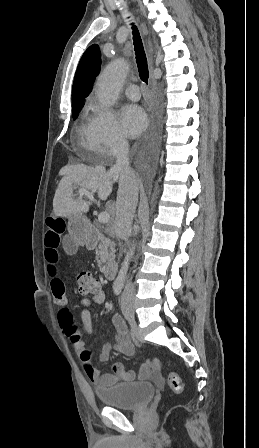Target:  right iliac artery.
Returning <instances> with one entry per match:
<instances>
[{"mask_svg": "<svg viewBox=\"0 0 259 448\" xmlns=\"http://www.w3.org/2000/svg\"><path fill=\"white\" fill-rule=\"evenodd\" d=\"M122 287H123V285L121 283H115L113 286L114 293L116 295H119L122 291Z\"/></svg>", "mask_w": 259, "mask_h": 448, "instance_id": "82829eb1", "label": "right iliac artery"}]
</instances>
